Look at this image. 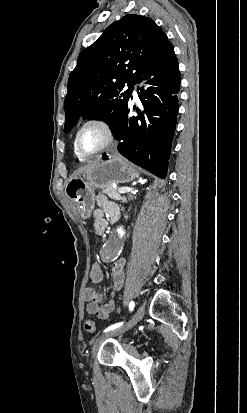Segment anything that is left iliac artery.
<instances>
[{"label": "left iliac artery", "instance_id": "1", "mask_svg": "<svg viewBox=\"0 0 247 413\" xmlns=\"http://www.w3.org/2000/svg\"><path fill=\"white\" fill-rule=\"evenodd\" d=\"M134 306H135L134 301H131V302L129 303V310H130V311H133ZM122 325H123V322L113 324V325L109 326L107 329H105L104 332H108V331L114 330V329H116V328H118V327H120V326H122Z\"/></svg>", "mask_w": 247, "mask_h": 413}]
</instances>
